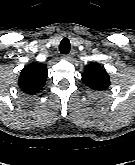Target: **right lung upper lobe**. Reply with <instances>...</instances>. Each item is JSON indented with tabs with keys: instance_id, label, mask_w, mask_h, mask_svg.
Listing matches in <instances>:
<instances>
[{
	"instance_id": "cb5924a9",
	"label": "right lung upper lobe",
	"mask_w": 135,
	"mask_h": 165,
	"mask_svg": "<svg viewBox=\"0 0 135 165\" xmlns=\"http://www.w3.org/2000/svg\"><path fill=\"white\" fill-rule=\"evenodd\" d=\"M47 77L46 65L33 62L22 69L18 85L25 93L35 94L45 85Z\"/></svg>"
}]
</instances>
